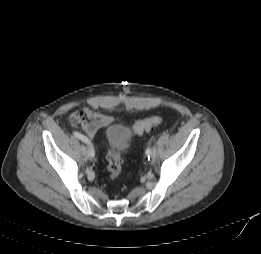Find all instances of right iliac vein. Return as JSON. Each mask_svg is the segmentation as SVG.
Listing matches in <instances>:
<instances>
[{"mask_svg": "<svg viewBox=\"0 0 261 254\" xmlns=\"http://www.w3.org/2000/svg\"><path fill=\"white\" fill-rule=\"evenodd\" d=\"M81 151H82V154L85 155L87 153L86 147L82 146Z\"/></svg>", "mask_w": 261, "mask_h": 254, "instance_id": "right-iliac-vein-1", "label": "right iliac vein"}]
</instances>
